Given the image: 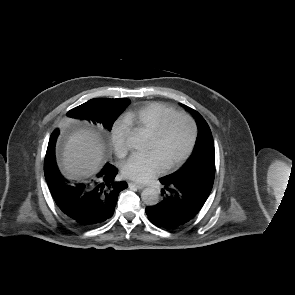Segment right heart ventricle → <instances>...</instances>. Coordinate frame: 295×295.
Returning a JSON list of instances; mask_svg holds the SVG:
<instances>
[{
	"mask_svg": "<svg viewBox=\"0 0 295 295\" xmlns=\"http://www.w3.org/2000/svg\"><path fill=\"white\" fill-rule=\"evenodd\" d=\"M174 113H177V110L173 107L153 102L129 111L124 116V123L127 127H134L152 133L165 117Z\"/></svg>",
	"mask_w": 295,
	"mask_h": 295,
	"instance_id": "1",
	"label": "right heart ventricle"
}]
</instances>
